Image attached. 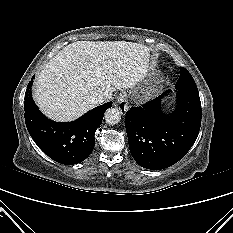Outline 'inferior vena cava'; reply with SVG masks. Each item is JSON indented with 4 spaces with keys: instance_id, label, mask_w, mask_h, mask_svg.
Returning a JSON list of instances; mask_svg holds the SVG:
<instances>
[{
    "instance_id": "inferior-vena-cava-1",
    "label": "inferior vena cava",
    "mask_w": 233,
    "mask_h": 233,
    "mask_svg": "<svg viewBox=\"0 0 233 233\" xmlns=\"http://www.w3.org/2000/svg\"><path fill=\"white\" fill-rule=\"evenodd\" d=\"M106 101V97L104 95H97L93 98L92 102L95 105L101 104Z\"/></svg>"
}]
</instances>
